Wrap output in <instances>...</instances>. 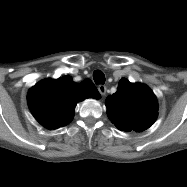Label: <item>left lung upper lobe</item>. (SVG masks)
Instances as JSON below:
<instances>
[{
    "mask_svg": "<svg viewBox=\"0 0 187 187\" xmlns=\"http://www.w3.org/2000/svg\"><path fill=\"white\" fill-rule=\"evenodd\" d=\"M107 115L122 131H143L157 118L158 103L153 92L144 84L130 83L122 78L117 92L106 99Z\"/></svg>",
    "mask_w": 187,
    "mask_h": 187,
    "instance_id": "1",
    "label": "left lung upper lobe"
}]
</instances>
